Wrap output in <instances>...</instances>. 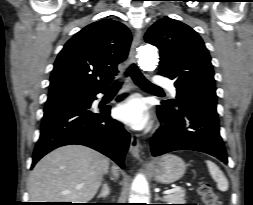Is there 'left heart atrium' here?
Here are the masks:
<instances>
[{"instance_id":"39dd6f15","label":"left heart atrium","mask_w":253,"mask_h":205,"mask_svg":"<svg viewBox=\"0 0 253 205\" xmlns=\"http://www.w3.org/2000/svg\"><path fill=\"white\" fill-rule=\"evenodd\" d=\"M116 116L130 127L140 130L149 122L146 104L139 96H132L116 108Z\"/></svg>"}]
</instances>
